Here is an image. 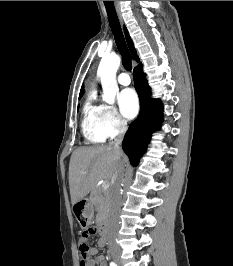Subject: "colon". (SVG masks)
I'll list each match as a JSON object with an SVG mask.
<instances>
[{
	"label": "colon",
	"instance_id": "colon-1",
	"mask_svg": "<svg viewBox=\"0 0 233 266\" xmlns=\"http://www.w3.org/2000/svg\"><path fill=\"white\" fill-rule=\"evenodd\" d=\"M95 228H89L84 231L80 236L79 250L81 253V262L80 266H83L84 260L90 255L91 247L86 243V239L89 235L95 234Z\"/></svg>",
	"mask_w": 233,
	"mask_h": 266
}]
</instances>
